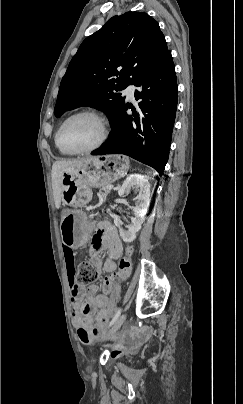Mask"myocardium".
<instances>
[{"label":"myocardium","mask_w":243,"mask_h":404,"mask_svg":"<svg viewBox=\"0 0 243 404\" xmlns=\"http://www.w3.org/2000/svg\"><path fill=\"white\" fill-rule=\"evenodd\" d=\"M80 115H91L95 118H97L102 126V134L101 137L99 139V141L88 147L85 149H78V148H72V147H66L63 145L62 140H61V132L63 127L65 126V124L71 120L72 118L76 117V116H80ZM57 138H58V142L59 144L64 147L65 149H67L68 151L72 152V153H76V154H83V153H90L93 152L97 149H99L100 147H102L104 145V143L106 142L107 138H108V125L107 122L105 120V118L96 110L93 109H81L78 111H75L73 113H71L70 115H68L59 125L58 129H57Z\"/></svg>","instance_id":"f54148a6"}]
</instances>
